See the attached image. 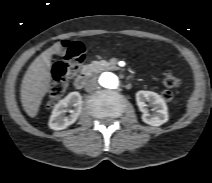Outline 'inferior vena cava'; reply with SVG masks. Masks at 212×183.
Listing matches in <instances>:
<instances>
[{
	"label": "inferior vena cava",
	"instance_id": "inferior-vena-cava-1",
	"mask_svg": "<svg viewBox=\"0 0 212 183\" xmlns=\"http://www.w3.org/2000/svg\"><path fill=\"white\" fill-rule=\"evenodd\" d=\"M98 87H99V84H98L97 80L94 79V78H91V79H89V80L87 81L86 86H85V89H86L87 91H94V90H96Z\"/></svg>",
	"mask_w": 212,
	"mask_h": 183
}]
</instances>
